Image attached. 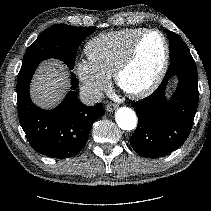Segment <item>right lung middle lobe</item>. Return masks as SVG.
I'll return each mask as SVG.
<instances>
[{"mask_svg": "<svg viewBox=\"0 0 211 211\" xmlns=\"http://www.w3.org/2000/svg\"><path fill=\"white\" fill-rule=\"evenodd\" d=\"M94 31L92 27H75L66 24L49 27L28 47L21 68L47 58L63 60L69 68H74L80 43Z\"/></svg>", "mask_w": 211, "mask_h": 211, "instance_id": "dd1d6c3e", "label": "right lung middle lobe"}]
</instances>
